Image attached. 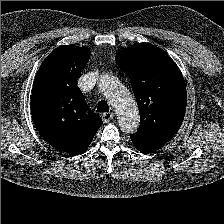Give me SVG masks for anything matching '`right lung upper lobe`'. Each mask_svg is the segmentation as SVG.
I'll use <instances>...</instances> for the list:
<instances>
[{
    "mask_svg": "<svg viewBox=\"0 0 224 224\" xmlns=\"http://www.w3.org/2000/svg\"><path fill=\"white\" fill-rule=\"evenodd\" d=\"M89 58L86 47L59 46L42 62L33 82L31 114L37 130L70 155L82 154L103 123L77 86Z\"/></svg>",
    "mask_w": 224,
    "mask_h": 224,
    "instance_id": "1",
    "label": "right lung upper lobe"
}]
</instances>
